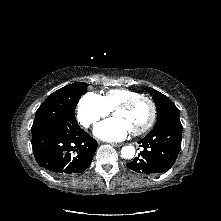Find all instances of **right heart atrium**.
<instances>
[{"label": "right heart atrium", "instance_id": "d8ad5b80", "mask_svg": "<svg viewBox=\"0 0 221 221\" xmlns=\"http://www.w3.org/2000/svg\"><path fill=\"white\" fill-rule=\"evenodd\" d=\"M110 114L103 98L93 92L85 93L78 102L77 120L85 128H93L97 122Z\"/></svg>", "mask_w": 221, "mask_h": 221}]
</instances>
